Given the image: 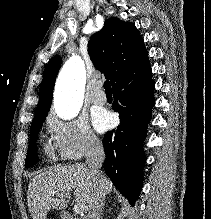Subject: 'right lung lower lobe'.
I'll return each mask as SVG.
<instances>
[{
    "mask_svg": "<svg viewBox=\"0 0 211 219\" xmlns=\"http://www.w3.org/2000/svg\"><path fill=\"white\" fill-rule=\"evenodd\" d=\"M155 84L148 59L112 85L114 111L120 125L103 138L106 154L104 170L114 186L133 205L142 187L143 165L146 161L143 140L155 104Z\"/></svg>",
    "mask_w": 211,
    "mask_h": 219,
    "instance_id": "right-lung-lower-lobe-1",
    "label": "right lung lower lobe"
}]
</instances>
